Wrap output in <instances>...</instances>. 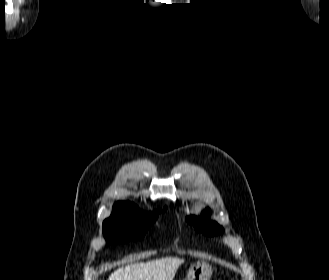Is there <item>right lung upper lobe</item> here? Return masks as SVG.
I'll return each instance as SVG.
<instances>
[{
  "label": "right lung upper lobe",
  "instance_id": "cb5924a9",
  "mask_svg": "<svg viewBox=\"0 0 329 280\" xmlns=\"http://www.w3.org/2000/svg\"><path fill=\"white\" fill-rule=\"evenodd\" d=\"M114 206L126 207V208H130V209L140 212L139 208L130 202H123V201L117 202Z\"/></svg>",
  "mask_w": 329,
  "mask_h": 280
}]
</instances>
